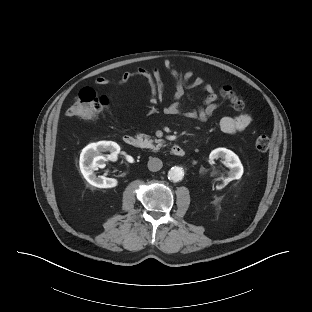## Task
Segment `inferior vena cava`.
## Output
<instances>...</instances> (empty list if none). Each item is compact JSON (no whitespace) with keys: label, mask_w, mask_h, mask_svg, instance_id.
<instances>
[{"label":"inferior vena cava","mask_w":312,"mask_h":312,"mask_svg":"<svg viewBox=\"0 0 312 312\" xmlns=\"http://www.w3.org/2000/svg\"><path fill=\"white\" fill-rule=\"evenodd\" d=\"M163 166L162 161L159 158H150L148 161V169L152 172L159 171Z\"/></svg>","instance_id":"inferior-vena-cava-1"}]
</instances>
